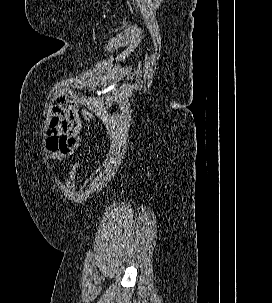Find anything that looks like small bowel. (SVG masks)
Listing matches in <instances>:
<instances>
[{
	"mask_svg": "<svg viewBox=\"0 0 272 303\" xmlns=\"http://www.w3.org/2000/svg\"><path fill=\"white\" fill-rule=\"evenodd\" d=\"M82 124L73 105L58 99L53 107L46 132V152L51 159L62 160L72 155L81 143Z\"/></svg>",
	"mask_w": 272,
	"mask_h": 303,
	"instance_id": "small-bowel-1",
	"label": "small bowel"
}]
</instances>
